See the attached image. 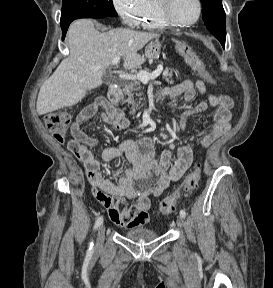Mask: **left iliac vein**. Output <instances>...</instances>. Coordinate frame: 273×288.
I'll return each instance as SVG.
<instances>
[{
    "label": "left iliac vein",
    "mask_w": 273,
    "mask_h": 288,
    "mask_svg": "<svg viewBox=\"0 0 273 288\" xmlns=\"http://www.w3.org/2000/svg\"><path fill=\"white\" fill-rule=\"evenodd\" d=\"M176 223H177V226H178L179 228H182V227H183V224H184L183 218H182L181 216L178 217Z\"/></svg>",
    "instance_id": "obj_1"
}]
</instances>
